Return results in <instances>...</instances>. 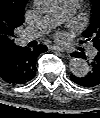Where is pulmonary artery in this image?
<instances>
[{"instance_id": "e3ab8cb5", "label": "pulmonary artery", "mask_w": 100, "mask_h": 118, "mask_svg": "<svg viewBox=\"0 0 100 118\" xmlns=\"http://www.w3.org/2000/svg\"><path fill=\"white\" fill-rule=\"evenodd\" d=\"M79 1L80 0H60V5L57 12L44 16L36 23L25 28L26 39H36L47 33L56 24L69 18L77 9ZM88 53L93 56L95 54V48L90 47Z\"/></svg>"}]
</instances>
